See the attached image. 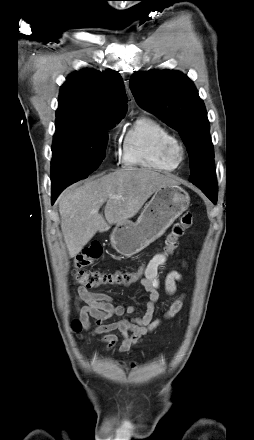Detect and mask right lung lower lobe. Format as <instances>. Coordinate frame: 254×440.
<instances>
[{"label": "right lung lower lobe", "instance_id": "98d812e1", "mask_svg": "<svg viewBox=\"0 0 254 440\" xmlns=\"http://www.w3.org/2000/svg\"><path fill=\"white\" fill-rule=\"evenodd\" d=\"M69 184H59L57 186H52V204L54 203L56 197L59 195V193Z\"/></svg>", "mask_w": 254, "mask_h": 440}]
</instances>
